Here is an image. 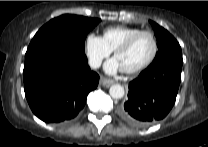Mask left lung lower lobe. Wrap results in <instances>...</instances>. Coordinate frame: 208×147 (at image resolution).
<instances>
[{
  "mask_svg": "<svg viewBox=\"0 0 208 147\" xmlns=\"http://www.w3.org/2000/svg\"><path fill=\"white\" fill-rule=\"evenodd\" d=\"M182 64L164 58L142 71L129 83L128 99L119 109L120 117L135 127L163 119L176 101Z\"/></svg>",
  "mask_w": 208,
  "mask_h": 147,
  "instance_id": "left-lung-lower-lobe-1",
  "label": "left lung lower lobe"
}]
</instances>
